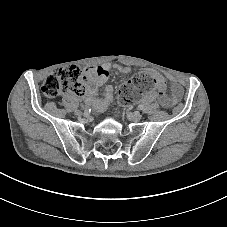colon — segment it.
<instances>
[{
    "instance_id": "5ec220e1",
    "label": "colon",
    "mask_w": 227,
    "mask_h": 227,
    "mask_svg": "<svg viewBox=\"0 0 227 227\" xmlns=\"http://www.w3.org/2000/svg\"><path fill=\"white\" fill-rule=\"evenodd\" d=\"M155 87L156 81L150 74H137L120 87L119 100L123 104L135 102L142 93ZM41 89L45 97L54 98L64 90L81 95L85 87L80 69L72 65L60 68L47 76Z\"/></svg>"
}]
</instances>
